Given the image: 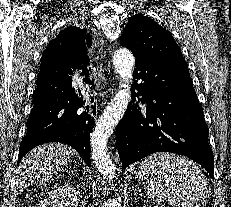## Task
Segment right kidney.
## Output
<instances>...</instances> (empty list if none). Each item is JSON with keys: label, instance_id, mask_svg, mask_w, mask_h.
I'll list each match as a JSON object with an SVG mask.
<instances>
[{"label": "right kidney", "instance_id": "obj_1", "mask_svg": "<svg viewBox=\"0 0 231 207\" xmlns=\"http://www.w3.org/2000/svg\"><path fill=\"white\" fill-rule=\"evenodd\" d=\"M77 195L75 189L67 184L58 186L40 202V207H77Z\"/></svg>", "mask_w": 231, "mask_h": 207}]
</instances>
